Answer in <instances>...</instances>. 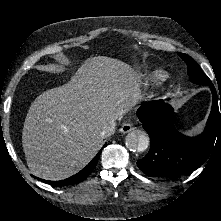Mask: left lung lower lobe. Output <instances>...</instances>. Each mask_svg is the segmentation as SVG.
<instances>
[{
    "instance_id": "1",
    "label": "left lung lower lobe",
    "mask_w": 221,
    "mask_h": 221,
    "mask_svg": "<svg viewBox=\"0 0 221 221\" xmlns=\"http://www.w3.org/2000/svg\"><path fill=\"white\" fill-rule=\"evenodd\" d=\"M209 87L213 95L212 110L205 130L196 137H187L175 129L173 109L163 100L146 102L137 110V116L151 139L148 154L137 161L138 167L146 175L177 177L191 173L206 161L217 141L221 140L218 107L221 104V92L218 94L213 84Z\"/></svg>"
}]
</instances>
